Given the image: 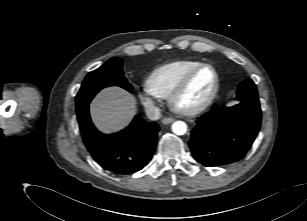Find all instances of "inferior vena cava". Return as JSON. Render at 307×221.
Segmentation results:
<instances>
[{
	"label": "inferior vena cava",
	"mask_w": 307,
	"mask_h": 221,
	"mask_svg": "<svg viewBox=\"0 0 307 221\" xmlns=\"http://www.w3.org/2000/svg\"><path fill=\"white\" fill-rule=\"evenodd\" d=\"M146 114H147V117L153 121L158 120L161 117L160 109L156 106H151L147 108Z\"/></svg>",
	"instance_id": "inferior-vena-cava-1"
}]
</instances>
